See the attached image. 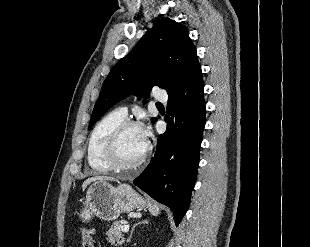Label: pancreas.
<instances>
[{
	"instance_id": "cf45deb5",
	"label": "pancreas",
	"mask_w": 310,
	"mask_h": 247,
	"mask_svg": "<svg viewBox=\"0 0 310 247\" xmlns=\"http://www.w3.org/2000/svg\"><path fill=\"white\" fill-rule=\"evenodd\" d=\"M123 222H115L111 228L106 232L107 241L112 245H122L125 241L124 234L122 233Z\"/></svg>"
}]
</instances>
